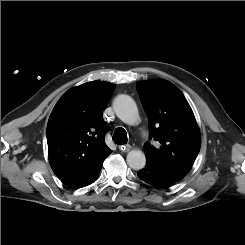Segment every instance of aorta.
Returning <instances> with one entry per match:
<instances>
[{"mask_svg":"<svg viewBox=\"0 0 245 245\" xmlns=\"http://www.w3.org/2000/svg\"><path fill=\"white\" fill-rule=\"evenodd\" d=\"M113 108L118 118L128 125H133L138 120V108L135 101L128 95H119L113 102ZM127 164L134 170L144 168L145 154L141 150H131L127 154Z\"/></svg>","mask_w":245,"mask_h":245,"instance_id":"1","label":"aorta"}]
</instances>
